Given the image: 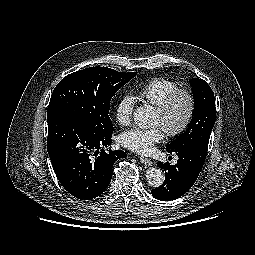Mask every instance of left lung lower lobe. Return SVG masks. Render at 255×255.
Listing matches in <instances>:
<instances>
[{
	"instance_id": "0a47b994",
	"label": "left lung lower lobe",
	"mask_w": 255,
	"mask_h": 255,
	"mask_svg": "<svg viewBox=\"0 0 255 255\" xmlns=\"http://www.w3.org/2000/svg\"><path fill=\"white\" fill-rule=\"evenodd\" d=\"M176 154L179 157L176 165L158 163V167L165 172L164 183L151 191L158 200H175L192 187L203 167L207 150L193 146Z\"/></svg>"
}]
</instances>
